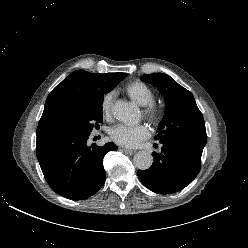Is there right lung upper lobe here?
<instances>
[{
  "label": "right lung upper lobe",
  "instance_id": "cb5924a9",
  "mask_svg": "<svg viewBox=\"0 0 248 248\" xmlns=\"http://www.w3.org/2000/svg\"><path fill=\"white\" fill-rule=\"evenodd\" d=\"M117 73L93 74L84 70L72 72L48 95L39 123L64 110L84 105L94 92L95 85L113 79Z\"/></svg>",
  "mask_w": 248,
  "mask_h": 248
}]
</instances>
